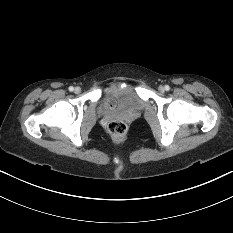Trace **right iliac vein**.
<instances>
[{
	"instance_id": "right-iliac-vein-1",
	"label": "right iliac vein",
	"mask_w": 233,
	"mask_h": 233,
	"mask_svg": "<svg viewBox=\"0 0 233 233\" xmlns=\"http://www.w3.org/2000/svg\"><path fill=\"white\" fill-rule=\"evenodd\" d=\"M74 92H75L76 94H79V93L81 92V88H80V87H76V88L74 89Z\"/></svg>"
}]
</instances>
